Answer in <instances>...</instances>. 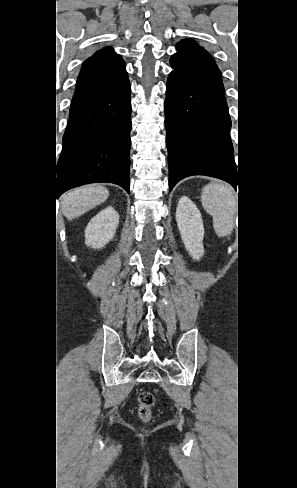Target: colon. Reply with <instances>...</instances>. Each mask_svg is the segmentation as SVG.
I'll list each match as a JSON object with an SVG mask.
<instances>
[{
  "label": "colon",
  "mask_w": 297,
  "mask_h": 488,
  "mask_svg": "<svg viewBox=\"0 0 297 488\" xmlns=\"http://www.w3.org/2000/svg\"><path fill=\"white\" fill-rule=\"evenodd\" d=\"M155 398L151 392L144 391L138 396V416L143 422H148L152 418Z\"/></svg>",
  "instance_id": "5ec220e1"
}]
</instances>
